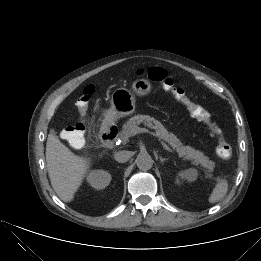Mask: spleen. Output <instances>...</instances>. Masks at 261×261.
Here are the masks:
<instances>
[{
  "instance_id": "3e777b00",
  "label": "spleen",
  "mask_w": 261,
  "mask_h": 261,
  "mask_svg": "<svg viewBox=\"0 0 261 261\" xmlns=\"http://www.w3.org/2000/svg\"><path fill=\"white\" fill-rule=\"evenodd\" d=\"M227 191H228L227 180L226 179L219 180L209 196V202L213 204L223 200L227 194Z\"/></svg>"
}]
</instances>
